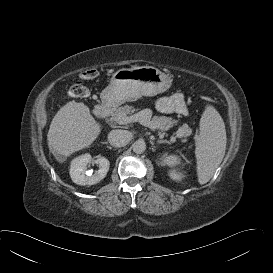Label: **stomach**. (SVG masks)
<instances>
[{"label":"stomach","instance_id":"obj_1","mask_svg":"<svg viewBox=\"0 0 273 273\" xmlns=\"http://www.w3.org/2000/svg\"><path fill=\"white\" fill-rule=\"evenodd\" d=\"M171 85V76L153 66L122 68L112 75L110 85L101 93V101L106 108H115L141 96L162 94Z\"/></svg>","mask_w":273,"mask_h":273}]
</instances>
